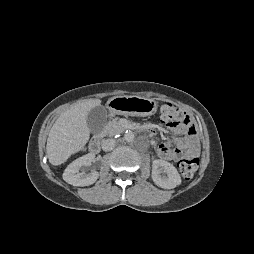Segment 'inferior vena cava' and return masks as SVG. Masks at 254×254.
Segmentation results:
<instances>
[{"instance_id": "obj_1", "label": "inferior vena cava", "mask_w": 254, "mask_h": 254, "mask_svg": "<svg viewBox=\"0 0 254 254\" xmlns=\"http://www.w3.org/2000/svg\"><path fill=\"white\" fill-rule=\"evenodd\" d=\"M115 140L113 138H109L102 141V149L104 151H111L115 147Z\"/></svg>"}]
</instances>
